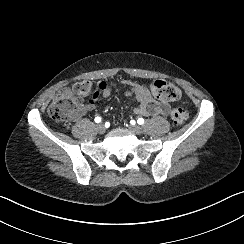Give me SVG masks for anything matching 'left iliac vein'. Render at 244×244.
Instances as JSON below:
<instances>
[{"mask_svg": "<svg viewBox=\"0 0 244 244\" xmlns=\"http://www.w3.org/2000/svg\"><path fill=\"white\" fill-rule=\"evenodd\" d=\"M130 130L136 135H140L143 132V128L139 125H131Z\"/></svg>", "mask_w": 244, "mask_h": 244, "instance_id": "1", "label": "left iliac vein"}]
</instances>
